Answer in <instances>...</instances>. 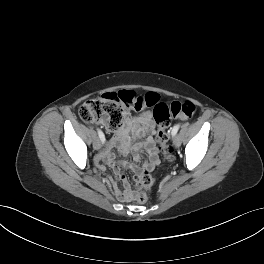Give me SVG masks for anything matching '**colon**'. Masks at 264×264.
<instances>
[{
  "mask_svg": "<svg viewBox=\"0 0 264 264\" xmlns=\"http://www.w3.org/2000/svg\"><path fill=\"white\" fill-rule=\"evenodd\" d=\"M144 108H153V115L157 122L156 139L164 158L173 159V150L169 145L168 128L172 118L189 119L196 112V106L191 101H174L166 104L159 101L156 93L148 92L139 95L131 90L110 92L98 98L88 100L79 108V117L82 121L100 122L108 130L114 131L121 127L129 111H140ZM154 184L151 173L143 171L135 180L136 191L132 195L139 203L148 199L147 190Z\"/></svg>",
  "mask_w": 264,
  "mask_h": 264,
  "instance_id": "obj_1",
  "label": "colon"
}]
</instances>
